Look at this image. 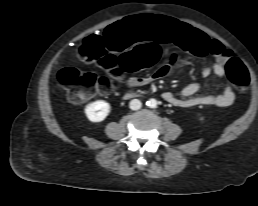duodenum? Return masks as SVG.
<instances>
[{
  "mask_svg": "<svg viewBox=\"0 0 258 206\" xmlns=\"http://www.w3.org/2000/svg\"><path fill=\"white\" fill-rule=\"evenodd\" d=\"M138 94L137 93H135V92H129V93H127V94H125V98L126 99H128V98H132V97H135V96H137Z\"/></svg>",
  "mask_w": 258,
  "mask_h": 206,
  "instance_id": "410a0bca",
  "label": "duodenum"
}]
</instances>
